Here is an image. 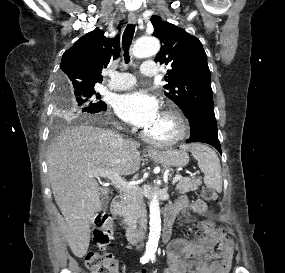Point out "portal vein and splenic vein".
<instances>
[{
    "label": "portal vein and splenic vein",
    "mask_w": 285,
    "mask_h": 273,
    "mask_svg": "<svg viewBox=\"0 0 285 273\" xmlns=\"http://www.w3.org/2000/svg\"><path fill=\"white\" fill-rule=\"evenodd\" d=\"M94 176L96 177H104V178H108L109 180H111L117 187H119L120 189L124 190V191H129L132 189H136L137 187L126 182L119 174H117L116 172L113 171H108V170H99L94 172ZM180 179H182V176L180 174L176 175L173 178V182L172 184H175L176 182H178Z\"/></svg>",
    "instance_id": "18ae733b"
}]
</instances>
